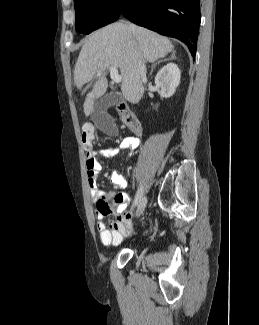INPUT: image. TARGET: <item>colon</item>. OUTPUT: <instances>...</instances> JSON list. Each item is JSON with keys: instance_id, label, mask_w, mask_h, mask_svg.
<instances>
[{"instance_id": "colon-1", "label": "colon", "mask_w": 259, "mask_h": 325, "mask_svg": "<svg viewBox=\"0 0 259 325\" xmlns=\"http://www.w3.org/2000/svg\"><path fill=\"white\" fill-rule=\"evenodd\" d=\"M94 141V128L91 124H85L81 128V143L86 151L92 149Z\"/></svg>"}]
</instances>
